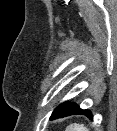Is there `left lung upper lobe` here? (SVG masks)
<instances>
[{"label":"left lung upper lobe","mask_w":117,"mask_h":131,"mask_svg":"<svg viewBox=\"0 0 117 131\" xmlns=\"http://www.w3.org/2000/svg\"><path fill=\"white\" fill-rule=\"evenodd\" d=\"M69 104L68 102H65V103H62L60 104L55 110L54 112L52 113L51 115V119H55V118H59V116L61 115V113L67 109L69 107Z\"/></svg>","instance_id":"obj_1"}]
</instances>
